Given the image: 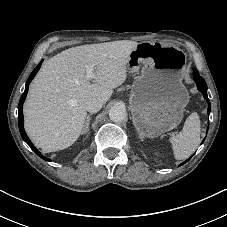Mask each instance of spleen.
<instances>
[{
  "label": "spleen",
  "mask_w": 227,
  "mask_h": 227,
  "mask_svg": "<svg viewBox=\"0 0 227 227\" xmlns=\"http://www.w3.org/2000/svg\"><path fill=\"white\" fill-rule=\"evenodd\" d=\"M200 126L199 115L193 112L186 119L182 131L170 137L175 159H186L196 150L200 143Z\"/></svg>",
  "instance_id": "1"
}]
</instances>
